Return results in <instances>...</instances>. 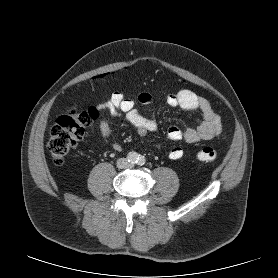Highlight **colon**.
<instances>
[{"mask_svg":"<svg viewBox=\"0 0 278 278\" xmlns=\"http://www.w3.org/2000/svg\"><path fill=\"white\" fill-rule=\"evenodd\" d=\"M96 117L94 108L80 110L72 106L56 119L47 142L54 163L62 164L65 161L69 152L82 139L86 128ZM196 157L201 162L211 163L216 160L217 151L212 147H203L197 152Z\"/></svg>","mask_w":278,"mask_h":278,"instance_id":"1","label":"colon"}]
</instances>
